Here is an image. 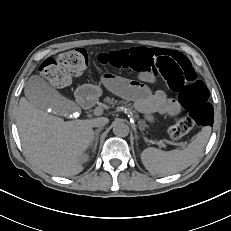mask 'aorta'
I'll return each mask as SVG.
<instances>
[{
	"label": "aorta",
	"mask_w": 231,
	"mask_h": 231,
	"mask_svg": "<svg viewBox=\"0 0 231 231\" xmlns=\"http://www.w3.org/2000/svg\"><path fill=\"white\" fill-rule=\"evenodd\" d=\"M113 133L119 137H126L129 134V127L127 124L117 121L113 125Z\"/></svg>",
	"instance_id": "762f6f07"
}]
</instances>
